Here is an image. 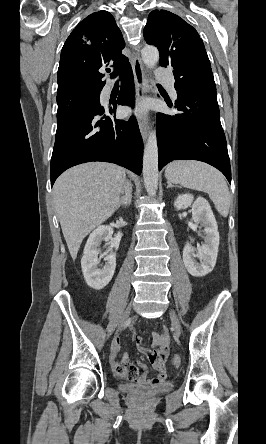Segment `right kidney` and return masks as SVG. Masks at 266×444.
Masks as SVG:
<instances>
[{"mask_svg":"<svg viewBox=\"0 0 266 444\" xmlns=\"http://www.w3.org/2000/svg\"><path fill=\"white\" fill-rule=\"evenodd\" d=\"M113 229L107 225L98 226L89 236L81 259V267L86 283L93 289H103L112 279L116 268V254L107 253L105 265L99 269V246L102 241H110Z\"/></svg>","mask_w":266,"mask_h":444,"instance_id":"1","label":"right kidney"}]
</instances>
